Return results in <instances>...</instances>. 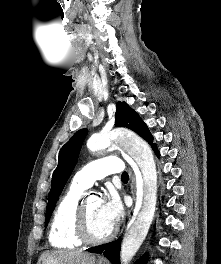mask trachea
<instances>
[{"label": "trachea", "instance_id": "1", "mask_svg": "<svg viewBox=\"0 0 221 264\" xmlns=\"http://www.w3.org/2000/svg\"><path fill=\"white\" fill-rule=\"evenodd\" d=\"M121 179L123 181H128V173L127 172H123L122 175H121Z\"/></svg>", "mask_w": 221, "mask_h": 264}]
</instances>
